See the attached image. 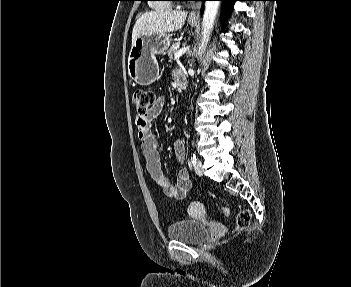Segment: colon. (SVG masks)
<instances>
[{"instance_id": "5ec220e1", "label": "colon", "mask_w": 351, "mask_h": 287, "mask_svg": "<svg viewBox=\"0 0 351 287\" xmlns=\"http://www.w3.org/2000/svg\"><path fill=\"white\" fill-rule=\"evenodd\" d=\"M155 94L147 89H136L132 94V101L136 106L138 116H145L155 103ZM222 215L228 216L230 210L228 207H223ZM251 213L247 209L240 210L236 217V225L238 228H245L249 225Z\"/></svg>"}]
</instances>
